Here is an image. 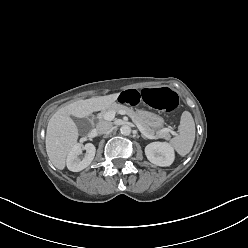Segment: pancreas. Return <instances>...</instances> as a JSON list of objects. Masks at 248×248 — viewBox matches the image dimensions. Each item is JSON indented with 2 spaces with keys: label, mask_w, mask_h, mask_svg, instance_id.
Segmentation results:
<instances>
[{
  "label": "pancreas",
  "mask_w": 248,
  "mask_h": 248,
  "mask_svg": "<svg viewBox=\"0 0 248 248\" xmlns=\"http://www.w3.org/2000/svg\"><path fill=\"white\" fill-rule=\"evenodd\" d=\"M109 111H113V112H119V111H124L128 116H130L133 120V122L138 123L142 126V128L149 134H153L154 130L151 129L139 116L138 114L131 108L120 105V104H116L113 103L111 106H109L108 108L104 109L101 113H100V118H103V115ZM170 137L169 133H163L162 134V138L168 139Z\"/></svg>",
  "instance_id": "cf45deb5"
}]
</instances>
